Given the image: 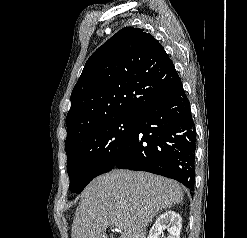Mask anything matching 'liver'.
<instances>
[{"mask_svg": "<svg viewBox=\"0 0 247 238\" xmlns=\"http://www.w3.org/2000/svg\"><path fill=\"white\" fill-rule=\"evenodd\" d=\"M180 185L151 173L115 169L93 179L81 194L72 238H107L121 224L120 238H145V228L162 209L182 202Z\"/></svg>", "mask_w": 247, "mask_h": 238, "instance_id": "6515ba94", "label": "liver"}]
</instances>
